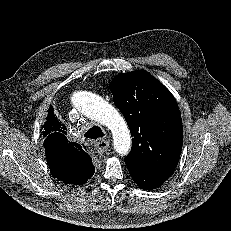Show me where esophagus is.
Instances as JSON below:
<instances>
[{
    "label": "esophagus",
    "mask_w": 231,
    "mask_h": 231,
    "mask_svg": "<svg viewBox=\"0 0 231 231\" xmlns=\"http://www.w3.org/2000/svg\"><path fill=\"white\" fill-rule=\"evenodd\" d=\"M109 141L105 140V139H99L97 140L96 144H95V149L97 152L102 153L107 151V149L109 148Z\"/></svg>",
    "instance_id": "34e87169"
}]
</instances>
